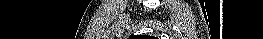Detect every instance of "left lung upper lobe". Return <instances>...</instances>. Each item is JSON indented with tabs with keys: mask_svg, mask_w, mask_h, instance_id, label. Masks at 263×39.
I'll return each instance as SVG.
<instances>
[{
	"mask_svg": "<svg viewBox=\"0 0 263 39\" xmlns=\"http://www.w3.org/2000/svg\"><path fill=\"white\" fill-rule=\"evenodd\" d=\"M130 39H157V37L145 36V35H137V36L130 37Z\"/></svg>",
	"mask_w": 263,
	"mask_h": 39,
	"instance_id": "obj_1",
	"label": "left lung upper lobe"
}]
</instances>
